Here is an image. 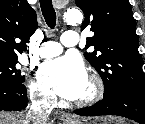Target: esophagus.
<instances>
[{
	"label": "esophagus",
	"instance_id": "esophagus-1",
	"mask_svg": "<svg viewBox=\"0 0 145 124\" xmlns=\"http://www.w3.org/2000/svg\"><path fill=\"white\" fill-rule=\"evenodd\" d=\"M61 120L63 121L64 124H72V123H74L75 118L70 113H62Z\"/></svg>",
	"mask_w": 145,
	"mask_h": 124
}]
</instances>
